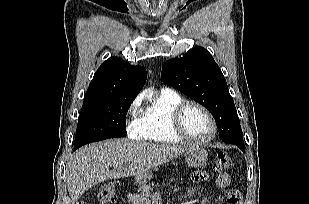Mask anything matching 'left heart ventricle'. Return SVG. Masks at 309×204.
Masks as SVG:
<instances>
[{
  "instance_id": "left-heart-ventricle-1",
  "label": "left heart ventricle",
  "mask_w": 309,
  "mask_h": 204,
  "mask_svg": "<svg viewBox=\"0 0 309 204\" xmlns=\"http://www.w3.org/2000/svg\"><path fill=\"white\" fill-rule=\"evenodd\" d=\"M186 131L196 139H206L211 134V124L206 115L197 107H189L183 115Z\"/></svg>"
}]
</instances>
